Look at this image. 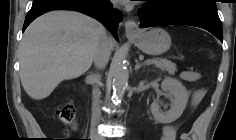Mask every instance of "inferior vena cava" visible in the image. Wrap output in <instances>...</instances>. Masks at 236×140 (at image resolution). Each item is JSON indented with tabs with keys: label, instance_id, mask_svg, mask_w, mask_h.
<instances>
[{
	"label": "inferior vena cava",
	"instance_id": "inferior-vena-cava-1",
	"mask_svg": "<svg viewBox=\"0 0 236 140\" xmlns=\"http://www.w3.org/2000/svg\"><path fill=\"white\" fill-rule=\"evenodd\" d=\"M111 39L106 37L99 42L98 47L94 53V64L97 68L103 69L108 61L111 54ZM95 82H98L100 79V75L96 74L93 76ZM93 117L97 121L100 117L99 110V91L97 88L93 89V103H92Z\"/></svg>",
	"mask_w": 236,
	"mask_h": 140
}]
</instances>
